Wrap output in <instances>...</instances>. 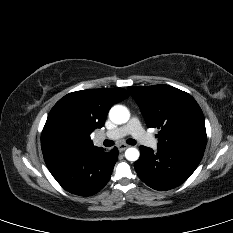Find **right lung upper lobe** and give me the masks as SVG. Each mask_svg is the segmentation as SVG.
<instances>
[{
  "label": "right lung upper lobe",
  "mask_w": 233,
  "mask_h": 233,
  "mask_svg": "<svg viewBox=\"0 0 233 233\" xmlns=\"http://www.w3.org/2000/svg\"><path fill=\"white\" fill-rule=\"evenodd\" d=\"M128 96L123 88L88 89L65 95L48 114L41 135L43 155L102 149L93 145L90 134L103 127L109 109ZM57 130L65 132L67 139L62 146L54 147L50 138Z\"/></svg>",
  "instance_id": "1"
}]
</instances>
